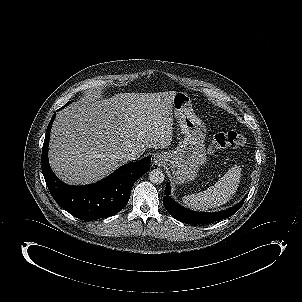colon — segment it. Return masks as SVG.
<instances>
[{"instance_id": "colon-1", "label": "colon", "mask_w": 302, "mask_h": 302, "mask_svg": "<svg viewBox=\"0 0 302 302\" xmlns=\"http://www.w3.org/2000/svg\"><path fill=\"white\" fill-rule=\"evenodd\" d=\"M245 143L246 137L242 133L234 131L219 133L214 135L211 139L209 150L214 152L225 148H238L244 146Z\"/></svg>"}]
</instances>
